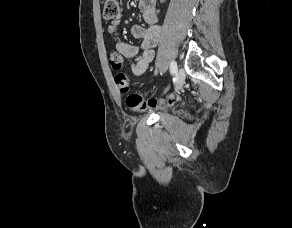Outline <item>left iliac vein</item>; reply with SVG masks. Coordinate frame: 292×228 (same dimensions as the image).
I'll use <instances>...</instances> for the list:
<instances>
[{
  "instance_id": "1",
  "label": "left iliac vein",
  "mask_w": 292,
  "mask_h": 228,
  "mask_svg": "<svg viewBox=\"0 0 292 228\" xmlns=\"http://www.w3.org/2000/svg\"><path fill=\"white\" fill-rule=\"evenodd\" d=\"M185 82V71L183 68L178 70L176 75L175 91H179Z\"/></svg>"
}]
</instances>
